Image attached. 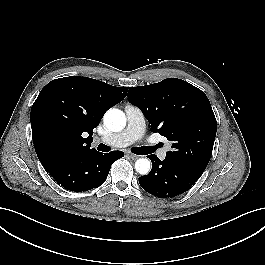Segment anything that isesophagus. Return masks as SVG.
<instances>
[{"instance_id": "obj_1", "label": "esophagus", "mask_w": 265, "mask_h": 265, "mask_svg": "<svg viewBox=\"0 0 265 265\" xmlns=\"http://www.w3.org/2000/svg\"><path fill=\"white\" fill-rule=\"evenodd\" d=\"M127 156L132 159V160H136L138 159L139 156L135 155V154H132V153H128Z\"/></svg>"}]
</instances>
